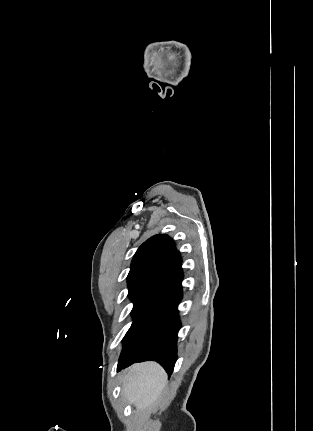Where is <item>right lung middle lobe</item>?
<instances>
[{
  "instance_id": "obj_1",
  "label": "right lung middle lobe",
  "mask_w": 313,
  "mask_h": 431,
  "mask_svg": "<svg viewBox=\"0 0 313 431\" xmlns=\"http://www.w3.org/2000/svg\"><path fill=\"white\" fill-rule=\"evenodd\" d=\"M130 298L134 304L132 315L135 316L140 311V309L144 306L148 298H145V297H130Z\"/></svg>"
}]
</instances>
